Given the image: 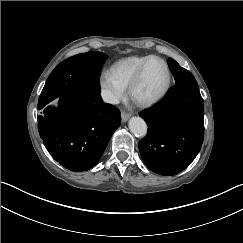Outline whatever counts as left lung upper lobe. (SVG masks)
<instances>
[{"label":"left lung upper lobe","mask_w":243,"mask_h":243,"mask_svg":"<svg viewBox=\"0 0 243 243\" xmlns=\"http://www.w3.org/2000/svg\"><path fill=\"white\" fill-rule=\"evenodd\" d=\"M171 73L175 79V85L178 84H197L194 76L188 70L182 68L174 59L167 60Z\"/></svg>","instance_id":"1"}]
</instances>
